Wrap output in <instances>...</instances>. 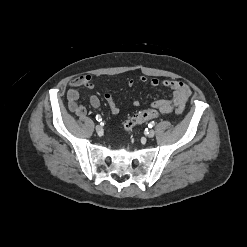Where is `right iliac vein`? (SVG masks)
<instances>
[{"label":"right iliac vein","mask_w":247,"mask_h":247,"mask_svg":"<svg viewBox=\"0 0 247 247\" xmlns=\"http://www.w3.org/2000/svg\"><path fill=\"white\" fill-rule=\"evenodd\" d=\"M95 129H96L97 133H102V131H103V128L100 125H96Z\"/></svg>","instance_id":"right-iliac-vein-1"}]
</instances>
